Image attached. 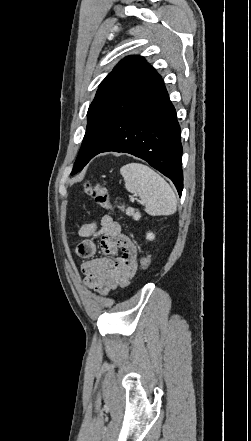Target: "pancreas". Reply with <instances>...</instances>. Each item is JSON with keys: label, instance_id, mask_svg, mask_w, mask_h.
I'll use <instances>...</instances> for the list:
<instances>
[{"label": "pancreas", "instance_id": "pancreas-1", "mask_svg": "<svg viewBox=\"0 0 251 441\" xmlns=\"http://www.w3.org/2000/svg\"><path fill=\"white\" fill-rule=\"evenodd\" d=\"M119 208H120V210H122V211L125 210V206H124V205L120 206Z\"/></svg>", "mask_w": 251, "mask_h": 441}]
</instances>
